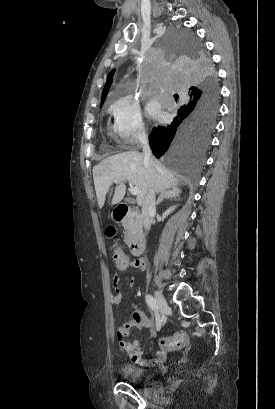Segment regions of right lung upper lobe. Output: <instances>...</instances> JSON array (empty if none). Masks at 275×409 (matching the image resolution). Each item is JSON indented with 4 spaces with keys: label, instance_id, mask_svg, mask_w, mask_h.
I'll return each instance as SVG.
<instances>
[{
    "label": "right lung upper lobe",
    "instance_id": "right-lung-upper-lobe-1",
    "mask_svg": "<svg viewBox=\"0 0 275 409\" xmlns=\"http://www.w3.org/2000/svg\"><path fill=\"white\" fill-rule=\"evenodd\" d=\"M114 72H115V69H113V70L108 74V76H107V81H106V84H105V87H104V90H103L102 100H101L100 106L103 104V102H104V100H105V98H106V95H107V93H108V90H109V88H110V86H111ZM195 90H196V89H195L193 86H191V87L189 88L190 95H191Z\"/></svg>",
    "mask_w": 275,
    "mask_h": 409
}]
</instances>
